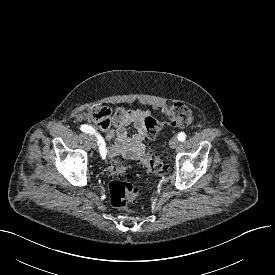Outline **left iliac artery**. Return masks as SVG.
Returning <instances> with one entry per match:
<instances>
[{"label": "left iliac artery", "instance_id": "obj_1", "mask_svg": "<svg viewBox=\"0 0 275 275\" xmlns=\"http://www.w3.org/2000/svg\"><path fill=\"white\" fill-rule=\"evenodd\" d=\"M186 134L184 132H180L177 136L179 141H184L186 139Z\"/></svg>", "mask_w": 275, "mask_h": 275}]
</instances>
